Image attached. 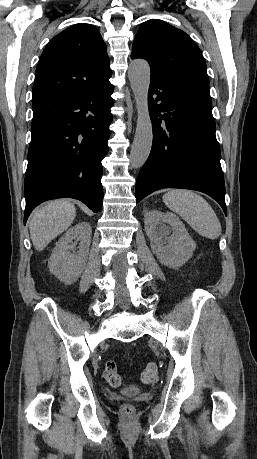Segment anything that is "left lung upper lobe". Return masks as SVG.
<instances>
[{"label":"left lung upper lobe","instance_id":"5c2ea615","mask_svg":"<svg viewBox=\"0 0 257 459\" xmlns=\"http://www.w3.org/2000/svg\"><path fill=\"white\" fill-rule=\"evenodd\" d=\"M131 58L147 60L151 78L167 82L200 80L209 84L199 47L185 32L164 21L151 19L142 23Z\"/></svg>","mask_w":257,"mask_h":459}]
</instances>
